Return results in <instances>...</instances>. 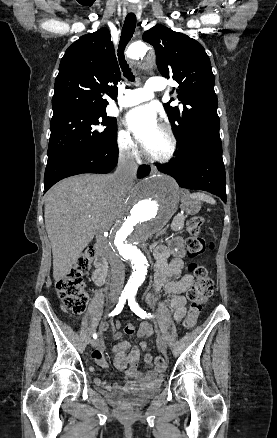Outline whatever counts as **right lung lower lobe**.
Instances as JSON below:
<instances>
[{
	"label": "right lung lower lobe",
	"instance_id": "1",
	"mask_svg": "<svg viewBox=\"0 0 277 438\" xmlns=\"http://www.w3.org/2000/svg\"><path fill=\"white\" fill-rule=\"evenodd\" d=\"M118 147L98 148L90 151L70 153L47 163L44 176L45 192L59 180L81 173H108L117 164ZM149 166L138 169V177L149 174Z\"/></svg>",
	"mask_w": 277,
	"mask_h": 438
}]
</instances>
